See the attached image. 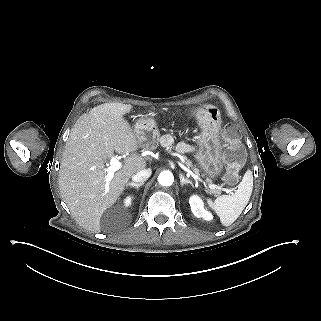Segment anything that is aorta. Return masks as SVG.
<instances>
[{
	"instance_id": "762f6f07",
	"label": "aorta",
	"mask_w": 321,
	"mask_h": 321,
	"mask_svg": "<svg viewBox=\"0 0 321 321\" xmlns=\"http://www.w3.org/2000/svg\"><path fill=\"white\" fill-rule=\"evenodd\" d=\"M158 182L162 186H171L174 182V176L170 171H163L158 176Z\"/></svg>"
}]
</instances>
